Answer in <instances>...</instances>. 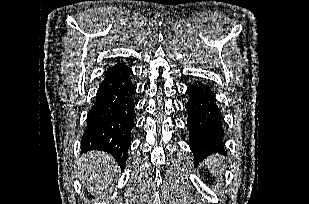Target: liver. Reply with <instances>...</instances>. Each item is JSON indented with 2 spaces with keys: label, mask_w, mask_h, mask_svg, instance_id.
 <instances>
[{
  "label": "liver",
  "mask_w": 309,
  "mask_h": 204,
  "mask_svg": "<svg viewBox=\"0 0 309 204\" xmlns=\"http://www.w3.org/2000/svg\"><path fill=\"white\" fill-rule=\"evenodd\" d=\"M79 175L89 193L99 194L116 173V161L109 154L99 151L85 154L78 165Z\"/></svg>",
  "instance_id": "1"
}]
</instances>
